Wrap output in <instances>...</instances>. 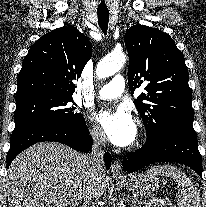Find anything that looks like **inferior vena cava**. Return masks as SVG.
I'll use <instances>...</instances> for the list:
<instances>
[{"mask_svg":"<svg viewBox=\"0 0 206 207\" xmlns=\"http://www.w3.org/2000/svg\"><path fill=\"white\" fill-rule=\"evenodd\" d=\"M93 137V153L88 156V168L90 180L88 182V191L84 196V207H99L93 200L97 197V188L104 173L103 147L106 144L105 135L102 132L94 131L91 133Z\"/></svg>","mask_w":206,"mask_h":207,"instance_id":"602c4592","label":"inferior vena cava"}]
</instances>
